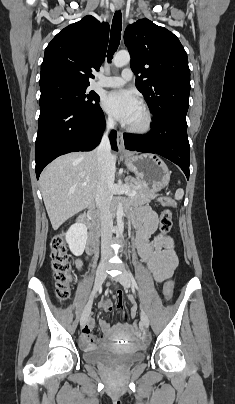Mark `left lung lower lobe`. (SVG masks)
<instances>
[{"label":"left lung lower lobe","mask_w":235,"mask_h":404,"mask_svg":"<svg viewBox=\"0 0 235 404\" xmlns=\"http://www.w3.org/2000/svg\"><path fill=\"white\" fill-rule=\"evenodd\" d=\"M123 137L126 149L159 154L177 164L189 179L190 146L185 114H162L153 118L148 134L125 133Z\"/></svg>","instance_id":"1"}]
</instances>
